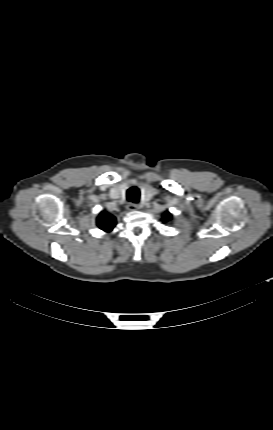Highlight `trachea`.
<instances>
[{
  "label": "trachea",
  "instance_id": "trachea-1",
  "mask_svg": "<svg viewBox=\"0 0 273 430\" xmlns=\"http://www.w3.org/2000/svg\"><path fill=\"white\" fill-rule=\"evenodd\" d=\"M140 198V191L136 186L130 187L127 190V199L130 202L137 203Z\"/></svg>",
  "mask_w": 273,
  "mask_h": 430
}]
</instances>
